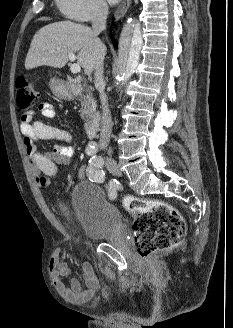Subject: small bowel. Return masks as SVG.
Wrapping results in <instances>:
<instances>
[{"label": "small bowel", "instance_id": "1", "mask_svg": "<svg viewBox=\"0 0 233 328\" xmlns=\"http://www.w3.org/2000/svg\"><path fill=\"white\" fill-rule=\"evenodd\" d=\"M38 109L46 119L56 117V110L51 103L42 102ZM33 110L26 111L20 120L19 128L23 143L31 163L32 171L39 187H48L51 180L59 172V164L69 161L73 150L69 146L58 145L51 153L40 152L37 142L41 140H58L70 142L71 136L65 130L48 125L40 120H33ZM84 170L80 169L79 175L83 176ZM50 275L56 290L69 302H85L90 300L98 287V279L90 263L82 264L83 283L72 278L67 286L63 278L69 274V268L61 259L60 251H55L49 261Z\"/></svg>", "mask_w": 233, "mask_h": 328}]
</instances>
